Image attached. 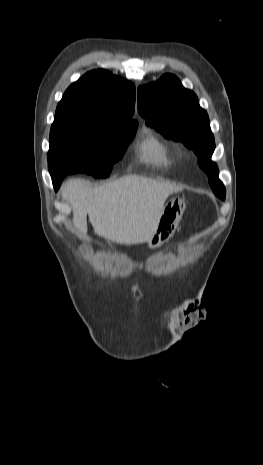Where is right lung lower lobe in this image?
I'll use <instances>...</instances> for the list:
<instances>
[{
	"label": "right lung lower lobe",
	"mask_w": 263,
	"mask_h": 465,
	"mask_svg": "<svg viewBox=\"0 0 263 465\" xmlns=\"http://www.w3.org/2000/svg\"><path fill=\"white\" fill-rule=\"evenodd\" d=\"M63 178L64 177H58V176L52 177V181H53V185H54L55 190H57L60 187V184H61Z\"/></svg>",
	"instance_id": "1"
}]
</instances>
